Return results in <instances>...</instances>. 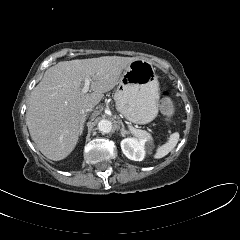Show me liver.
<instances>
[{"label":"liver","mask_w":240,"mask_h":240,"mask_svg":"<svg viewBox=\"0 0 240 240\" xmlns=\"http://www.w3.org/2000/svg\"><path fill=\"white\" fill-rule=\"evenodd\" d=\"M136 59L103 56L62 61L46 70L32 91L26 117L30 136L43 155L59 161L73 151L81 130V109L94 108ZM85 78L91 79L90 92L82 94Z\"/></svg>","instance_id":"obj_1"}]
</instances>
